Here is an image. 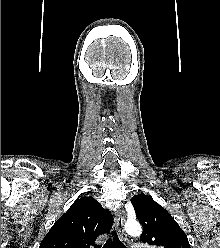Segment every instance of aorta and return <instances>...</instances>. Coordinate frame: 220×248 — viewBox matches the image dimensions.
Segmentation results:
<instances>
[{"label": "aorta", "instance_id": "aorta-1", "mask_svg": "<svg viewBox=\"0 0 220 248\" xmlns=\"http://www.w3.org/2000/svg\"><path fill=\"white\" fill-rule=\"evenodd\" d=\"M125 231L132 236H138L142 232L141 225L136 220H127L125 223Z\"/></svg>", "mask_w": 220, "mask_h": 248}]
</instances>
